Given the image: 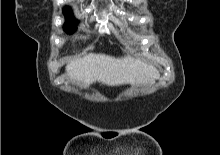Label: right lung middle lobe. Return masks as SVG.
<instances>
[{
    "instance_id": "dd1d6c3e",
    "label": "right lung middle lobe",
    "mask_w": 220,
    "mask_h": 155,
    "mask_svg": "<svg viewBox=\"0 0 220 155\" xmlns=\"http://www.w3.org/2000/svg\"><path fill=\"white\" fill-rule=\"evenodd\" d=\"M64 15L67 18V21L64 24V30L71 34L76 30V21L73 19L72 12L69 8L64 9Z\"/></svg>"
}]
</instances>
